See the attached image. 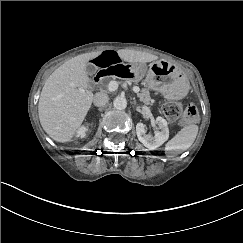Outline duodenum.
Listing matches in <instances>:
<instances>
[{
    "mask_svg": "<svg viewBox=\"0 0 243 243\" xmlns=\"http://www.w3.org/2000/svg\"><path fill=\"white\" fill-rule=\"evenodd\" d=\"M136 68L134 65L126 63V64H119L108 69L100 70L95 78V82H99L104 78L111 77L117 79H130L135 76Z\"/></svg>",
    "mask_w": 243,
    "mask_h": 243,
    "instance_id": "duodenum-1",
    "label": "duodenum"
}]
</instances>
